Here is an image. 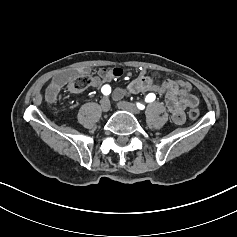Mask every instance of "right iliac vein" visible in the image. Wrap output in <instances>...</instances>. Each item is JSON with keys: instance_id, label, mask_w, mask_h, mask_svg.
Segmentation results:
<instances>
[{"instance_id": "63e3f726", "label": "right iliac vein", "mask_w": 237, "mask_h": 237, "mask_svg": "<svg viewBox=\"0 0 237 237\" xmlns=\"http://www.w3.org/2000/svg\"><path fill=\"white\" fill-rule=\"evenodd\" d=\"M100 107H101V110L103 112H108L110 110V101L107 97H104L101 101H100Z\"/></svg>"}]
</instances>
